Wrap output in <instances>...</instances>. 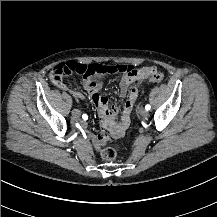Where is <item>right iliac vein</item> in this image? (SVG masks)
<instances>
[{
  "mask_svg": "<svg viewBox=\"0 0 217 217\" xmlns=\"http://www.w3.org/2000/svg\"><path fill=\"white\" fill-rule=\"evenodd\" d=\"M80 115H81L80 110H78V109H73V111H72V116H73V118H79Z\"/></svg>",
  "mask_w": 217,
  "mask_h": 217,
  "instance_id": "right-iliac-vein-1",
  "label": "right iliac vein"
}]
</instances>
